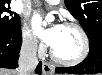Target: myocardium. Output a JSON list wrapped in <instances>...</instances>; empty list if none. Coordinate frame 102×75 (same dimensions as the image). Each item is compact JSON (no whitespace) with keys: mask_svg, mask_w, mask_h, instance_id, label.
<instances>
[{"mask_svg":"<svg viewBox=\"0 0 102 75\" xmlns=\"http://www.w3.org/2000/svg\"><path fill=\"white\" fill-rule=\"evenodd\" d=\"M63 26H67V27H71V28H74L76 29L80 36H81V39H82V43H83V47H82V51L80 53V55L72 60H65L61 57H59L54 51L52 48H50L49 52H50V55H51V58L57 62V63H60L62 65H66V66H70V65H75V64H78L80 63L81 61H83L88 53H89V50H90V42H89V38H88V35L87 33L85 32L84 28L78 24L77 22L73 21V20H66L62 23Z\"/></svg>","mask_w":102,"mask_h":75,"instance_id":"myocardium-1","label":"myocardium"}]
</instances>
